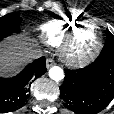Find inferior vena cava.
I'll use <instances>...</instances> for the list:
<instances>
[{
  "instance_id": "inferior-vena-cava-1",
  "label": "inferior vena cava",
  "mask_w": 114,
  "mask_h": 114,
  "mask_svg": "<svg viewBox=\"0 0 114 114\" xmlns=\"http://www.w3.org/2000/svg\"><path fill=\"white\" fill-rule=\"evenodd\" d=\"M42 51L40 50H37V49H33V50H30L27 54H26V57L28 60H34V59H38L40 57H42Z\"/></svg>"
}]
</instances>
